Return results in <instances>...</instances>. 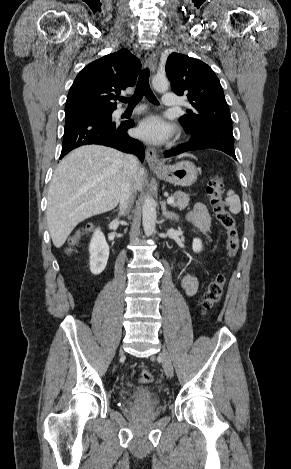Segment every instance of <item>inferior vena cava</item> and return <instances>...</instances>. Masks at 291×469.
Returning <instances> with one entry per match:
<instances>
[{
  "label": "inferior vena cava",
  "instance_id": "1",
  "mask_svg": "<svg viewBox=\"0 0 291 469\" xmlns=\"http://www.w3.org/2000/svg\"><path fill=\"white\" fill-rule=\"evenodd\" d=\"M139 168V161L133 155H126L124 161V180L121 186L120 194V215L129 214L135 197H136V186H135V175Z\"/></svg>",
  "mask_w": 291,
  "mask_h": 469
}]
</instances>
